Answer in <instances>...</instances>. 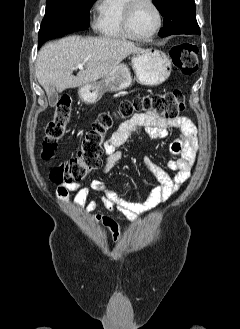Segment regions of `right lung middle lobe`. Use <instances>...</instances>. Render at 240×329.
Wrapping results in <instances>:
<instances>
[{"mask_svg":"<svg viewBox=\"0 0 240 329\" xmlns=\"http://www.w3.org/2000/svg\"><path fill=\"white\" fill-rule=\"evenodd\" d=\"M96 0H47L45 17L39 30L38 46L49 39L87 29L89 10Z\"/></svg>","mask_w":240,"mask_h":329,"instance_id":"1","label":"right lung middle lobe"}]
</instances>
